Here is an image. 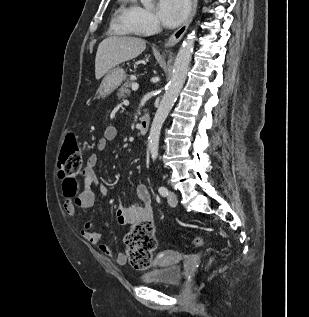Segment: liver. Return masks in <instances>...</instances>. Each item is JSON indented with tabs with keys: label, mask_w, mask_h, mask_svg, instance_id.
Returning <instances> with one entry per match:
<instances>
[{
	"label": "liver",
	"mask_w": 309,
	"mask_h": 317,
	"mask_svg": "<svg viewBox=\"0 0 309 317\" xmlns=\"http://www.w3.org/2000/svg\"><path fill=\"white\" fill-rule=\"evenodd\" d=\"M145 48L146 42L141 38L107 37L99 44L97 49L95 58L96 79L99 80L119 64L136 58Z\"/></svg>",
	"instance_id": "liver-1"
}]
</instances>
